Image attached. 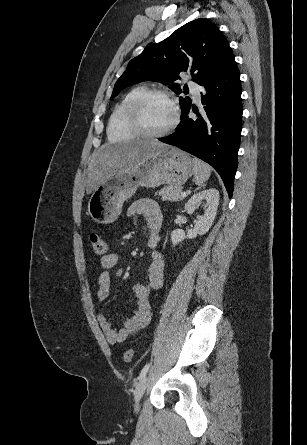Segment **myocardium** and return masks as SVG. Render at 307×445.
Instances as JSON below:
<instances>
[{"label":"myocardium","instance_id":"obj_1","mask_svg":"<svg viewBox=\"0 0 307 445\" xmlns=\"http://www.w3.org/2000/svg\"><path fill=\"white\" fill-rule=\"evenodd\" d=\"M154 98H160L165 101H167L173 108V119L168 127H166L161 132H151L147 129L146 125L144 124L143 117H142V110L144 105L151 99ZM180 118L179 110L175 104V102L172 100V98L165 92L160 90H147L142 96H140L135 103L132 106L131 109V120L132 124L137 132V134L141 135L142 139H161L169 134H171L177 127L178 122Z\"/></svg>","mask_w":307,"mask_h":445}]
</instances>
